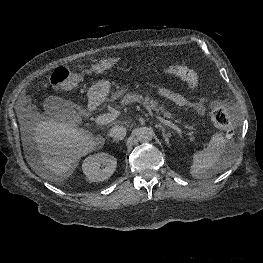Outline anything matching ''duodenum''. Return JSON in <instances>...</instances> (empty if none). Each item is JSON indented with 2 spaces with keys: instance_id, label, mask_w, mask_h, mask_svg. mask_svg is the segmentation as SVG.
I'll return each instance as SVG.
<instances>
[{
  "instance_id": "obj_1",
  "label": "duodenum",
  "mask_w": 263,
  "mask_h": 263,
  "mask_svg": "<svg viewBox=\"0 0 263 263\" xmlns=\"http://www.w3.org/2000/svg\"><path fill=\"white\" fill-rule=\"evenodd\" d=\"M88 107H89V110H90V111H94V110L96 109V107H97L96 101H95V100H91V101L89 102Z\"/></svg>"
}]
</instances>
